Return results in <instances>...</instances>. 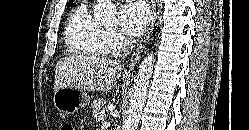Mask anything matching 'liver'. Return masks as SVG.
Listing matches in <instances>:
<instances>
[{
    "label": "liver",
    "instance_id": "6515ba94",
    "mask_svg": "<svg viewBox=\"0 0 249 130\" xmlns=\"http://www.w3.org/2000/svg\"><path fill=\"white\" fill-rule=\"evenodd\" d=\"M122 65L99 56H71L56 64L54 91L70 87L88 91H108L114 87Z\"/></svg>",
    "mask_w": 249,
    "mask_h": 130
}]
</instances>
